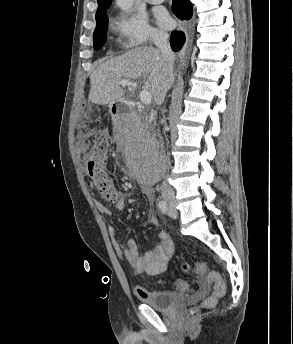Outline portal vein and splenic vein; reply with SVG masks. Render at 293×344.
Segmentation results:
<instances>
[{"label":"portal vein and splenic vein","instance_id":"1","mask_svg":"<svg viewBox=\"0 0 293 344\" xmlns=\"http://www.w3.org/2000/svg\"><path fill=\"white\" fill-rule=\"evenodd\" d=\"M119 84L122 86H128V87H133V88H136L138 86L136 82H132L126 79L119 81ZM139 97L142 104H145V105H149L152 101L151 94L147 90H142L139 94Z\"/></svg>","mask_w":293,"mask_h":344}]
</instances>
